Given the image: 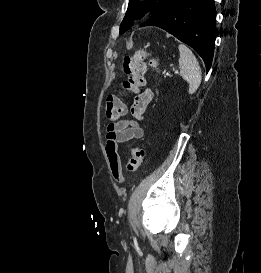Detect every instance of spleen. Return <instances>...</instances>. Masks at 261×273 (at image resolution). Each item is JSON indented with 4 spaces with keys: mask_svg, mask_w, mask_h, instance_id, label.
Returning a JSON list of instances; mask_svg holds the SVG:
<instances>
[{
    "mask_svg": "<svg viewBox=\"0 0 261 273\" xmlns=\"http://www.w3.org/2000/svg\"><path fill=\"white\" fill-rule=\"evenodd\" d=\"M179 68L180 74L184 80L189 84V94H193L197 91L201 84L202 72L199 63L193 54V52L184 44H180L179 47Z\"/></svg>",
    "mask_w": 261,
    "mask_h": 273,
    "instance_id": "3e777b00",
    "label": "spleen"
}]
</instances>
